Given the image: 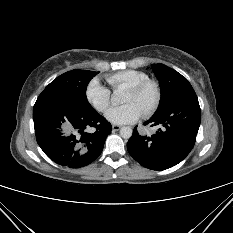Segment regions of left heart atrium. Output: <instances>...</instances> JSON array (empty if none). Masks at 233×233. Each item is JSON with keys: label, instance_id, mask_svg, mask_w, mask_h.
Segmentation results:
<instances>
[{"label": "left heart atrium", "instance_id": "left-heart-atrium-1", "mask_svg": "<svg viewBox=\"0 0 233 233\" xmlns=\"http://www.w3.org/2000/svg\"><path fill=\"white\" fill-rule=\"evenodd\" d=\"M143 115V111L134 103L121 106H113L106 113V119L114 124H129L137 121Z\"/></svg>", "mask_w": 233, "mask_h": 233}]
</instances>
